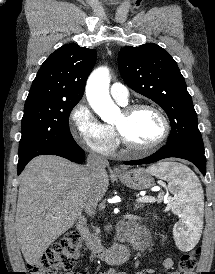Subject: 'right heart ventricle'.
<instances>
[{
    "instance_id": "1",
    "label": "right heart ventricle",
    "mask_w": 215,
    "mask_h": 274,
    "mask_svg": "<svg viewBox=\"0 0 215 274\" xmlns=\"http://www.w3.org/2000/svg\"><path fill=\"white\" fill-rule=\"evenodd\" d=\"M106 127H107L108 129H110L112 132H114L113 127H112V126H110V125H106Z\"/></svg>"
}]
</instances>
